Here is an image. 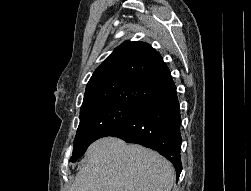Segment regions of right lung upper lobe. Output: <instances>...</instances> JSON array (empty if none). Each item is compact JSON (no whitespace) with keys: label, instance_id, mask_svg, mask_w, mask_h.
<instances>
[{"label":"right lung upper lobe","instance_id":"1","mask_svg":"<svg viewBox=\"0 0 251 191\" xmlns=\"http://www.w3.org/2000/svg\"><path fill=\"white\" fill-rule=\"evenodd\" d=\"M174 86L161 55L144 42L117 47L90 78L81 111L111 102L144 106Z\"/></svg>","mask_w":251,"mask_h":191}]
</instances>
